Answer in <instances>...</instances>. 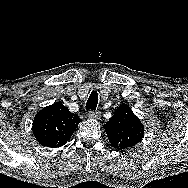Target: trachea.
I'll use <instances>...</instances> for the list:
<instances>
[{"mask_svg": "<svg viewBox=\"0 0 188 188\" xmlns=\"http://www.w3.org/2000/svg\"><path fill=\"white\" fill-rule=\"evenodd\" d=\"M98 103V93L96 91H92L87 102L86 109L87 110H95Z\"/></svg>", "mask_w": 188, "mask_h": 188, "instance_id": "trachea-1", "label": "trachea"}]
</instances>
